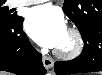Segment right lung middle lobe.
<instances>
[{
  "label": "right lung middle lobe",
  "mask_w": 102,
  "mask_h": 75,
  "mask_svg": "<svg viewBox=\"0 0 102 75\" xmlns=\"http://www.w3.org/2000/svg\"><path fill=\"white\" fill-rule=\"evenodd\" d=\"M5 1H0V22H11L16 18V15L11 14L8 7L3 6Z\"/></svg>",
  "instance_id": "right-lung-middle-lobe-1"
}]
</instances>
